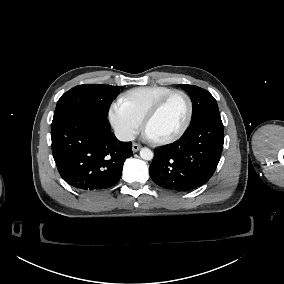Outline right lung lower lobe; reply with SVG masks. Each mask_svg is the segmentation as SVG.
Segmentation results:
<instances>
[{
	"label": "right lung lower lobe",
	"mask_w": 284,
	"mask_h": 284,
	"mask_svg": "<svg viewBox=\"0 0 284 284\" xmlns=\"http://www.w3.org/2000/svg\"><path fill=\"white\" fill-rule=\"evenodd\" d=\"M51 138L61 177L84 191L117 184L124 161L133 155L132 143L115 137L107 116L91 110H75L52 121Z\"/></svg>",
	"instance_id": "98d812e1"
}]
</instances>
